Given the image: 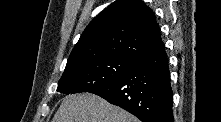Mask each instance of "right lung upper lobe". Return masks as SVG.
<instances>
[{"mask_svg": "<svg viewBox=\"0 0 221 122\" xmlns=\"http://www.w3.org/2000/svg\"><path fill=\"white\" fill-rule=\"evenodd\" d=\"M160 41L158 24L149 7L141 0H117L86 27L66 68L103 56L136 59Z\"/></svg>", "mask_w": 221, "mask_h": 122, "instance_id": "right-lung-upper-lobe-1", "label": "right lung upper lobe"}]
</instances>
